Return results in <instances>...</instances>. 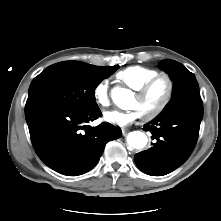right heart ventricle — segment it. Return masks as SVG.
Returning <instances> with one entry per match:
<instances>
[{
  "mask_svg": "<svg viewBox=\"0 0 221 221\" xmlns=\"http://www.w3.org/2000/svg\"><path fill=\"white\" fill-rule=\"evenodd\" d=\"M159 72L143 66H131L117 74V79L132 90L141 87L145 82L157 76Z\"/></svg>",
  "mask_w": 221,
  "mask_h": 221,
  "instance_id": "right-heart-ventricle-1",
  "label": "right heart ventricle"
}]
</instances>
